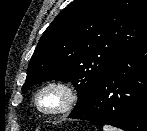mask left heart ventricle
Wrapping results in <instances>:
<instances>
[{
	"label": "left heart ventricle",
	"mask_w": 147,
	"mask_h": 131,
	"mask_svg": "<svg viewBox=\"0 0 147 131\" xmlns=\"http://www.w3.org/2000/svg\"><path fill=\"white\" fill-rule=\"evenodd\" d=\"M62 102V96L59 92L50 90L43 93L39 99V104L43 109L57 108Z\"/></svg>",
	"instance_id": "left-heart-ventricle-1"
}]
</instances>
